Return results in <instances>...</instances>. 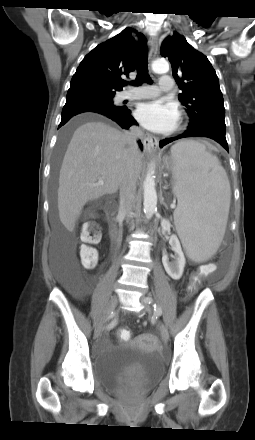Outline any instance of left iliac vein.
Returning <instances> with one entry per match:
<instances>
[{
	"instance_id": "obj_1",
	"label": "left iliac vein",
	"mask_w": 255,
	"mask_h": 440,
	"mask_svg": "<svg viewBox=\"0 0 255 440\" xmlns=\"http://www.w3.org/2000/svg\"><path fill=\"white\" fill-rule=\"evenodd\" d=\"M145 298H146V297H142V298H141V303L144 305L145 310H146L148 313H151V312H152V309H151V307L149 306V304L145 301ZM158 328H159V331H160V335H161L162 340H163L164 342H167V341L169 340V332H168L167 327L165 326V324H164L163 322L159 321V322H158Z\"/></svg>"
}]
</instances>
